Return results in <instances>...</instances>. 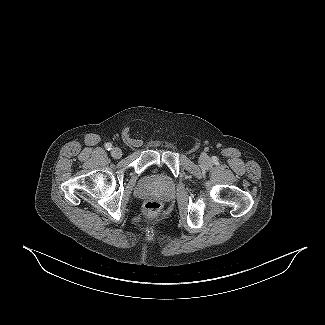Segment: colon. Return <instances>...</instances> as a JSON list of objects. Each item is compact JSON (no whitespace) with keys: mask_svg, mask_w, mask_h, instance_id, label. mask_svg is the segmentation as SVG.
<instances>
[{"mask_svg":"<svg viewBox=\"0 0 325 325\" xmlns=\"http://www.w3.org/2000/svg\"><path fill=\"white\" fill-rule=\"evenodd\" d=\"M161 209L162 205L156 199H149L144 204V212L150 218L157 216L160 213Z\"/></svg>","mask_w":325,"mask_h":325,"instance_id":"5ec220e1","label":"colon"}]
</instances>
